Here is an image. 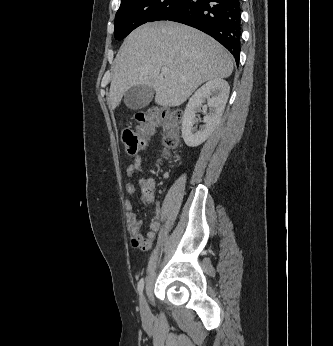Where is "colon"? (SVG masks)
Returning <instances> with one entry per match:
<instances>
[{
  "label": "colon",
  "mask_w": 333,
  "mask_h": 346,
  "mask_svg": "<svg viewBox=\"0 0 333 346\" xmlns=\"http://www.w3.org/2000/svg\"><path fill=\"white\" fill-rule=\"evenodd\" d=\"M182 119L183 112L179 109L161 110L153 107L144 112H137L135 114L137 127L124 128L121 133L126 153L134 155L144 149L147 138L158 129L163 130L164 148L168 151L176 148Z\"/></svg>",
  "instance_id": "colon-1"
}]
</instances>
